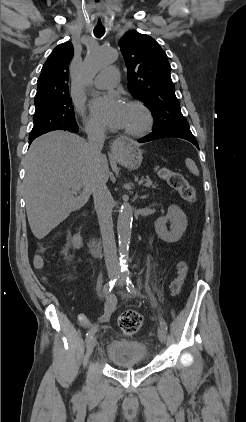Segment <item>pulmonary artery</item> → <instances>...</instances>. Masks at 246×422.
I'll list each match as a JSON object with an SVG mask.
<instances>
[{"label":"pulmonary artery","mask_w":246,"mask_h":422,"mask_svg":"<svg viewBox=\"0 0 246 422\" xmlns=\"http://www.w3.org/2000/svg\"><path fill=\"white\" fill-rule=\"evenodd\" d=\"M119 79V71L115 67L103 69L94 79L93 85L96 88L105 89L113 87Z\"/></svg>","instance_id":"pulmonary-artery-1"}]
</instances>
